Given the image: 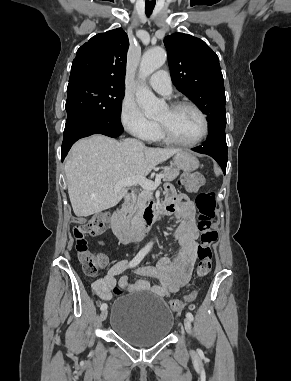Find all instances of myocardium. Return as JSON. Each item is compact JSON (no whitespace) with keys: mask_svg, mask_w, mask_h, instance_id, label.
Listing matches in <instances>:
<instances>
[{"mask_svg":"<svg viewBox=\"0 0 291 381\" xmlns=\"http://www.w3.org/2000/svg\"><path fill=\"white\" fill-rule=\"evenodd\" d=\"M168 108L171 112H175V111H178V110L183 109V108H190V109L194 110L200 116V118L202 120L203 129H202L200 136L197 139L190 141V142H185V141H181V140L177 139L169 131V129L167 127H165L160 122H157V129H158L160 135L166 141H168L172 144H175V145L183 146V147H193V146H196L199 143H201L206 138V136L208 135V132H209V121H208L206 114L203 112V110L200 107H198L196 104H194L192 102L180 101V102H176V103L171 104Z\"/></svg>","mask_w":291,"mask_h":381,"instance_id":"myocardium-1","label":"myocardium"}]
</instances>
